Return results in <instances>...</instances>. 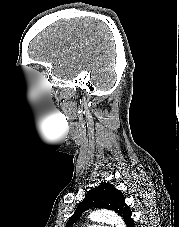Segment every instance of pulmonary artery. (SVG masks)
Listing matches in <instances>:
<instances>
[{
	"instance_id": "e3ab8cb5",
	"label": "pulmonary artery",
	"mask_w": 179,
	"mask_h": 227,
	"mask_svg": "<svg viewBox=\"0 0 179 227\" xmlns=\"http://www.w3.org/2000/svg\"><path fill=\"white\" fill-rule=\"evenodd\" d=\"M88 227H109V225H105V224H92V225H89Z\"/></svg>"
}]
</instances>
